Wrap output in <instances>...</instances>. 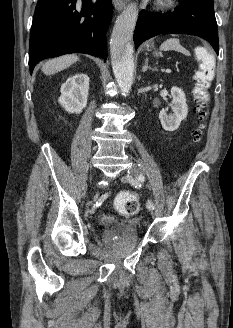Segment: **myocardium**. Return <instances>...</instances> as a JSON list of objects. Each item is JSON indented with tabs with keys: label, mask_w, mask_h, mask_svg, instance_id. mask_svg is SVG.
Segmentation results:
<instances>
[{
	"label": "myocardium",
	"mask_w": 233,
	"mask_h": 328,
	"mask_svg": "<svg viewBox=\"0 0 233 328\" xmlns=\"http://www.w3.org/2000/svg\"><path fill=\"white\" fill-rule=\"evenodd\" d=\"M158 5L161 7H171L174 5V0H158Z\"/></svg>",
	"instance_id": "obj_1"
}]
</instances>
